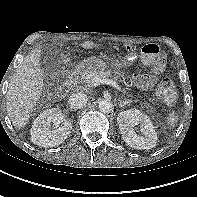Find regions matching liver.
<instances>
[{"mask_svg":"<svg viewBox=\"0 0 197 197\" xmlns=\"http://www.w3.org/2000/svg\"><path fill=\"white\" fill-rule=\"evenodd\" d=\"M85 49L94 47V43L86 41L81 44ZM41 49H34L28 54L10 80L6 106L7 113L15 127L26 125L34 106L43 91V71L40 68Z\"/></svg>","mask_w":197,"mask_h":197,"instance_id":"obj_1","label":"liver"}]
</instances>
